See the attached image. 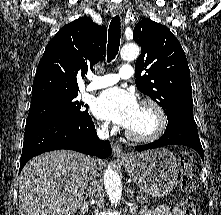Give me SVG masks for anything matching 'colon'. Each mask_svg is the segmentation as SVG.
Segmentation results:
<instances>
[{"mask_svg": "<svg viewBox=\"0 0 221 215\" xmlns=\"http://www.w3.org/2000/svg\"><path fill=\"white\" fill-rule=\"evenodd\" d=\"M181 170L180 187L185 197L182 200V208L185 215H196L195 207L191 194L194 191L195 180L192 172V155L190 153H183L179 160Z\"/></svg>", "mask_w": 221, "mask_h": 215, "instance_id": "1", "label": "colon"}]
</instances>
